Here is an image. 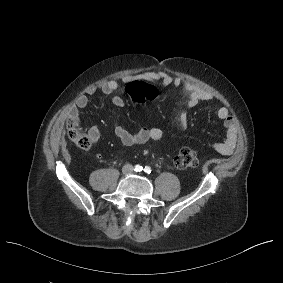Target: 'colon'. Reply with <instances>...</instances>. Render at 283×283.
Returning a JSON list of instances; mask_svg holds the SVG:
<instances>
[{
    "label": "colon",
    "instance_id": "colon-1",
    "mask_svg": "<svg viewBox=\"0 0 283 283\" xmlns=\"http://www.w3.org/2000/svg\"><path fill=\"white\" fill-rule=\"evenodd\" d=\"M127 94L135 103H145L154 100L158 96L156 87L143 81H135L127 85ZM67 130L70 139L81 149L88 150L92 143L89 136L83 132L79 122L70 118L67 121ZM174 163L179 169H192L198 166V158L195 150L183 148L174 159Z\"/></svg>",
    "mask_w": 283,
    "mask_h": 283
}]
</instances>
